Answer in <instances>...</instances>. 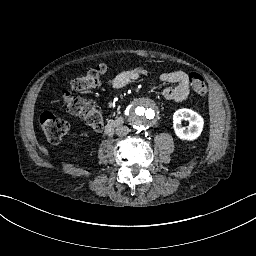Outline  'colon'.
<instances>
[{"instance_id": "colon-1", "label": "colon", "mask_w": 256, "mask_h": 256, "mask_svg": "<svg viewBox=\"0 0 256 256\" xmlns=\"http://www.w3.org/2000/svg\"><path fill=\"white\" fill-rule=\"evenodd\" d=\"M106 71L105 65L98 64L90 71L74 78L72 83L73 90L77 92H88L97 88L102 78L106 75ZM188 79L194 94L200 96L206 94V81L200 73L192 71L188 74ZM63 103L71 114L82 119L85 126L93 130H98L102 127V116L91 101L74 96L70 92H65ZM40 122L47 139L53 144L61 143L70 128L67 120L49 112L41 115Z\"/></svg>"}]
</instances>
